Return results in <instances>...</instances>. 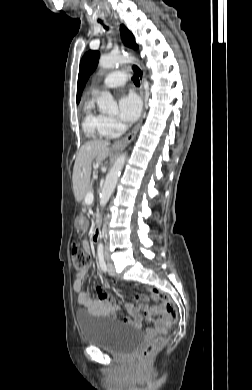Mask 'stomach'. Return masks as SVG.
I'll use <instances>...</instances> for the list:
<instances>
[{
    "label": "stomach",
    "instance_id": "obj_1",
    "mask_svg": "<svg viewBox=\"0 0 252 390\" xmlns=\"http://www.w3.org/2000/svg\"><path fill=\"white\" fill-rule=\"evenodd\" d=\"M77 223H78V226H79V227L84 226V224H85V219H84V217H83V216L78 217Z\"/></svg>",
    "mask_w": 252,
    "mask_h": 390
}]
</instances>
